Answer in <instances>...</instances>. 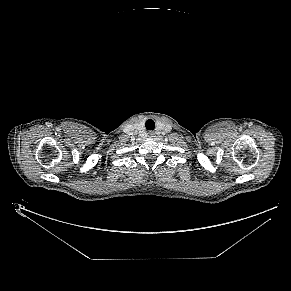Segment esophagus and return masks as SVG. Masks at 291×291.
<instances>
[{
	"instance_id": "1",
	"label": "esophagus",
	"mask_w": 291,
	"mask_h": 291,
	"mask_svg": "<svg viewBox=\"0 0 291 291\" xmlns=\"http://www.w3.org/2000/svg\"><path fill=\"white\" fill-rule=\"evenodd\" d=\"M148 136H149L150 138H153V137H155V133H154L153 131H149V132H148Z\"/></svg>"
}]
</instances>
